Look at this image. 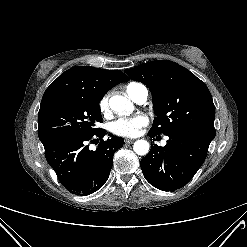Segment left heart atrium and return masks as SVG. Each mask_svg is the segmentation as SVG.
Here are the masks:
<instances>
[{"label": "left heart atrium", "mask_w": 247, "mask_h": 247, "mask_svg": "<svg viewBox=\"0 0 247 247\" xmlns=\"http://www.w3.org/2000/svg\"><path fill=\"white\" fill-rule=\"evenodd\" d=\"M148 122V117L141 113L132 116H123L110 124V130L112 133L119 136H137Z\"/></svg>", "instance_id": "obj_1"}]
</instances>
